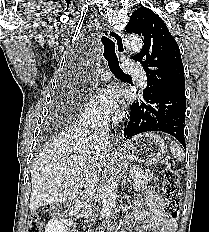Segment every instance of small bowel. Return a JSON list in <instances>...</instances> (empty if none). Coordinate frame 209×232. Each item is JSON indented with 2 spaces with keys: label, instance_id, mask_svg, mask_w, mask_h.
Wrapping results in <instances>:
<instances>
[{
  "label": "small bowel",
  "instance_id": "c3829d8e",
  "mask_svg": "<svg viewBox=\"0 0 209 232\" xmlns=\"http://www.w3.org/2000/svg\"><path fill=\"white\" fill-rule=\"evenodd\" d=\"M134 215L143 221L137 232H175L176 230V220L165 215L163 201L153 189L148 190L143 198L136 201Z\"/></svg>",
  "mask_w": 209,
  "mask_h": 232
}]
</instances>
